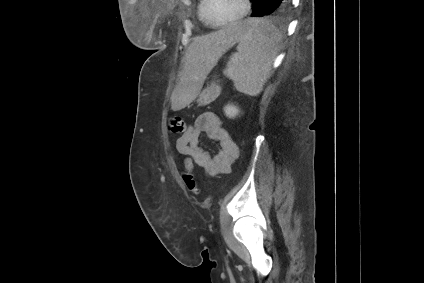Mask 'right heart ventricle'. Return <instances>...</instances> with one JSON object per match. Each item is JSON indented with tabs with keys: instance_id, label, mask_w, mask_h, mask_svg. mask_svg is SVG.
Here are the masks:
<instances>
[{
	"instance_id": "obj_1",
	"label": "right heart ventricle",
	"mask_w": 424,
	"mask_h": 283,
	"mask_svg": "<svg viewBox=\"0 0 424 283\" xmlns=\"http://www.w3.org/2000/svg\"><path fill=\"white\" fill-rule=\"evenodd\" d=\"M203 5H204V0H199L198 6H197V13L201 21H204L203 20Z\"/></svg>"
}]
</instances>
